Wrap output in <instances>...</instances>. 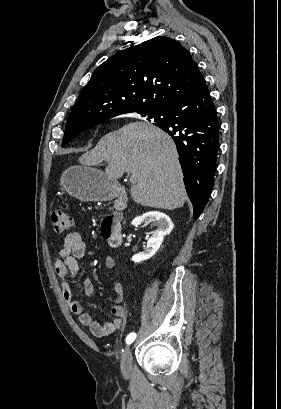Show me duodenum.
I'll return each mask as SVG.
<instances>
[{"label": "duodenum", "instance_id": "obj_1", "mask_svg": "<svg viewBox=\"0 0 281 409\" xmlns=\"http://www.w3.org/2000/svg\"><path fill=\"white\" fill-rule=\"evenodd\" d=\"M115 210L101 220V231L113 248H119L123 241V231L120 224V212L126 205L127 192L124 186H117L114 192Z\"/></svg>", "mask_w": 281, "mask_h": 409}]
</instances>
